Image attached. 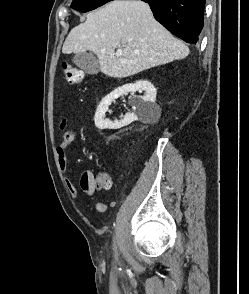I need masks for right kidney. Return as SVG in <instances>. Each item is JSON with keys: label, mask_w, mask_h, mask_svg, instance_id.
<instances>
[{"label": "right kidney", "mask_w": 249, "mask_h": 294, "mask_svg": "<svg viewBox=\"0 0 249 294\" xmlns=\"http://www.w3.org/2000/svg\"><path fill=\"white\" fill-rule=\"evenodd\" d=\"M136 91H145V95L140 97L134 96L131 99L132 112L127 113L121 120L111 121L105 119V113L115 99L128 93L134 95ZM155 100L156 88L148 80H139L135 83H129L118 87L100 102L94 116L95 126L100 130L119 129L129 125L135 120H141L143 122L155 121L161 112Z\"/></svg>", "instance_id": "ca27d5eb"}]
</instances>
